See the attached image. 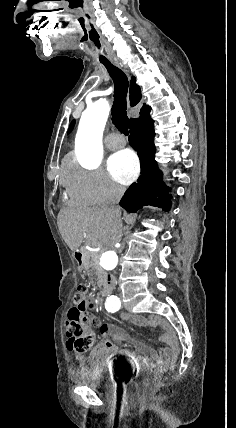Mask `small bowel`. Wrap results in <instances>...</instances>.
Masks as SVG:
<instances>
[{"mask_svg": "<svg viewBox=\"0 0 236 428\" xmlns=\"http://www.w3.org/2000/svg\"><path fill=\"white\" fill-rule=\"evenodd\" d=\"M120 318L125 321L132 322L143 327H158L163 331L162 341L166 347L160 351H154L147 345L141 342H133L137 353L129 350H120L116 344L117 341H130L126 333L118 327L101 324L100 332L103 340L99 342L91 351V359H111L120 354L126 357L130 364L140 367L142 365L150 367H161L178 351V342L175 330L163 318L136 317L128 313H121ZM75 358L82 363L84 357L81 354H76Z\"/></svg>", "mask_w": 236, "mask_h": 428, "instance_id": "c3829d8e", "label": "small bowel"}]
</instances>
